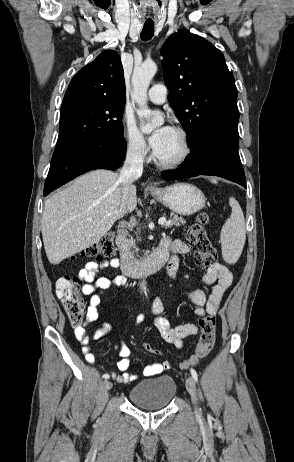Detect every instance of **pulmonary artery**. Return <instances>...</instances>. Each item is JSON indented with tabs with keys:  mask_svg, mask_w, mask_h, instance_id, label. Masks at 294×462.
Masks as SVG:
<instances>
[{
	"mask_svg": "<svg viewBox=\"0 0 294 462\" xmlns=\"http://www.w3.org/2000/svg\"><path fill=\"white\" fill-rule=\"evenodd\" d=\"M150 101L156 104H162L167 98V88L163 84H155L148 91Z\"/></svg>",
	"mask_w": 294,
	"mask_h": 462,
	"instance_id": "e3ab8cb5",
	"label": "pulmonary artery"
}]
</instances>
